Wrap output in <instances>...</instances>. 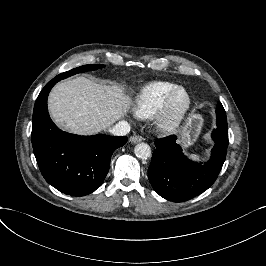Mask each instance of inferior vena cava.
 I'll return each instance as SVG.
<instances>
[{
  "mask_svg": "<svg viewBox=\"0 0 266 266\" xmlns=\"http://www.w3.org/2000/svg\"><path fill=\"white\" fill-rule=\"evenodd\" d=\"M108 131L116 136H125L130 132V125L127 121L122 120L110 127Z\"/></svg>",
  "mask_w": 266,
  "mask_h": 266,
  "instance_id": "inferior-vena-cava-1",
  "label": "inferior vena cava"
}]
</instances>
